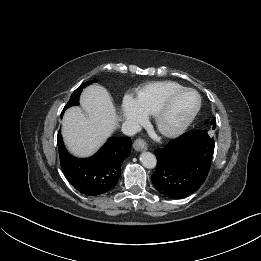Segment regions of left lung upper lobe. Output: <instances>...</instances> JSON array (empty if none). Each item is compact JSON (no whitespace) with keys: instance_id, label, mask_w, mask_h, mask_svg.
Instances as JSON below:
<instances>
[{"instance_id":"5c2ea615","label":"left lung upper lobe","mask_w":261,"mask_h":261,"mask_svg":"<svg viewBox=\"0 0 261 261\" xmlns=\"http://www.w3.org/2000/svg\"><path fill=\"white\" fill-rule=\"evenodd\" d=\"M211 124L213 125V129H214L216 124H215V122L213 120H212Z\"/></svg>"}]
</instances>
